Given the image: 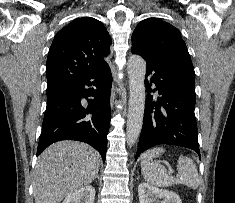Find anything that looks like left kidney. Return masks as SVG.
<instances>
[{"instance_id": "5707ae66", "label": "left kidney", "mask_w": 235, "mask_h": 203, "mask_svg": "<svg viewBox=\"0 0 235 203\" xmlns=\"http://www.w3.org/2000/svg\"><path fill=\"white\" fill-rule=\"evenodd\" d=\"M138 195L139 203H182L175 192L159 189L146 182L139 184Z\"/></svg>"}]
</instances>
